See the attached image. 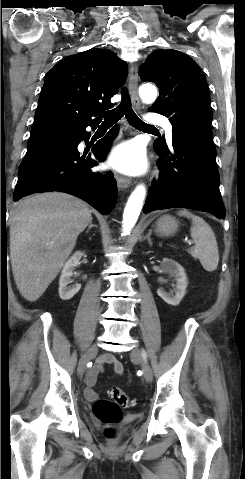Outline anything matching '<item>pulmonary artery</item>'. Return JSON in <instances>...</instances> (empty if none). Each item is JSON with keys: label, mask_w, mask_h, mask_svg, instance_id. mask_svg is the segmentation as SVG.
<instances>
[{"label": "pulmonary artery", "mask_w": 245, "mask_h": 479, "mask_svg": "<svg viewBox=\"0 0 245 479\" xmlns=\"http://www.w3.org/2000/svg\"><path fill=\"white\" fill-rule=\"evenodd\" d=\"M149 121L152 124H157V125L162 126L167 133V137H168L169 141L171 140L172 126H171L170 122L168 121V119L165 116L160 115V114H152L149 117Z\"/></svg>", "instance_id": "pulmonary-artery-1"}]
</instances>
